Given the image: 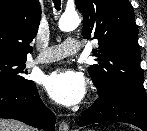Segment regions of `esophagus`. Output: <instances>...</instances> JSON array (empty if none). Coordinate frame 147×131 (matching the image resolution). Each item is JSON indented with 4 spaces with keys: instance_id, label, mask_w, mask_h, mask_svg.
I'll list each match as a JSON object with an SVG mask.
<instances>
[{
    "instance_id": "obj_1",
    "label": "esophagus",
    "mask_w": 147,
    "mask_h": 131,
    "mask_svg": "<svg viewBox=\"0 0 147 131\" xmlns=\"http://www.w3.org/2000/svg\"><path fill=\"white\" fill-rule=\"evenodd\" d=\"M59 131H69V124L66 121H62L59 124Z\"/></svg>"
}]
</instances>
